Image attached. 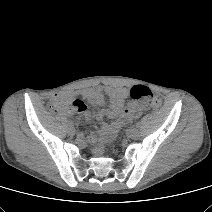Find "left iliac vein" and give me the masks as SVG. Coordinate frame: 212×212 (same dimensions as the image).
I'll return each mask as SVG.
<instances>
[{"label":"left iliac vein","mask_w":212,"mask_h":212,"mask_svg":"<svg viewBox=\"0 0 212 212\" xmlns=\"http://www.w3.org/2000/svg\"><path fill=\"white\" fill-rule=\"evenodd\" d=\"M139 136H140V132H139L138 129L133 128V129L130 131V137H131L132 139H134V140H135V139H138Z\"/></svg>","instance_id":"4c4485c4"}]
</instances>
